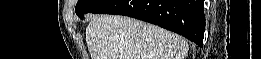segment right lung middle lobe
<instances>
[{
	"instance_id": "1",
	"label": "right lung middle lobe",
	"mask_w": 261,
	"mask_h": 59,
	"mask_svg": "<svg viewBox=\"0 0 261 59\" xmlns=\"http://www.w3.org/2000/svg\"><path fill=\"white\" fill-rule=\"evenodd\" d=\"M109 0H79L76 4V14L83 19L84 14L88 12H95L98 8L103 6Z\"/></svg>"
}]
</instances>
